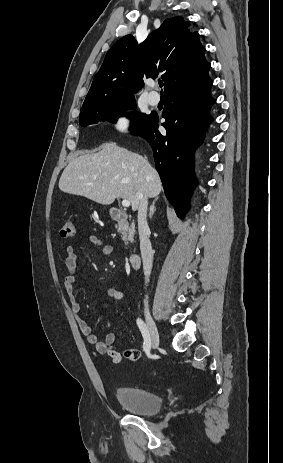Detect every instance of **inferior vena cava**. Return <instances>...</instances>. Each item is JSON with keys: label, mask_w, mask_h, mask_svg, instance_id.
I'll return each mask as SVG.
<instances>
[{"label": "inferior vena cava", "mask_w": 283, "mask_h": 463, "mask_svg": "<svg viewBox=\"0 0 283 463\" xmlns=\"http://www.w3.org/2000/svg\"><path fill=\"white\" fill-rule=\"evenodd\" d=\"M148 196L141 194L138 206V231L140 238V250L143 262L145 282H149V277L153 265V250L149 239L150 229L147 223ZM145 308L148 309L147 297L144 300Z\"/></svg>", "instance_id": "602c4592"}]
</instances>
